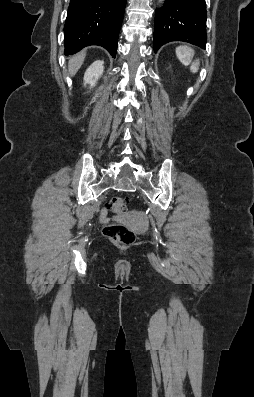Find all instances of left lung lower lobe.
Masks as SVG:
<instances>
[{
  "instance_id": "left-lung-lower-lobe-1",
  "label": "left lung lower lobe",
  "mask_w": 254,
  "mask_h": 397,
  "mask_svg": "<svg viewBox=\"0 0 254 397\" xmlns=\"http://www.w3.org/2000/svg\"><path fill=\"white\" fill-rule=\"evenodd\" d=\"M205 0H165L155 13L154 51L170 41H185L205 48Z\"/></svg>"
}]
</instances>
